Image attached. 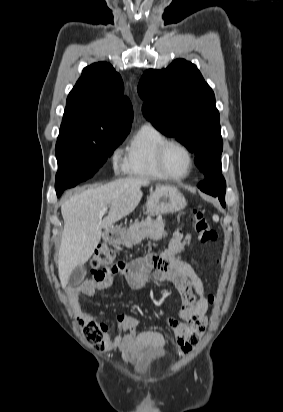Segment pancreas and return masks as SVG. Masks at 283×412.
<instances>
[{
	"label": "pancreas",
	"instance_id": "1",
	"mask_svg": "<svg viewBox=\"0 0 283 412\" xmlns=\"http://www.w3.org/2000/svg\"><path fill=\"white\" fill-rule=\"evenodd\" d=\"M164 226L165 224L162 219L152 220L150 218L140 223L130 225L125 231L124 244L127 247H131L140 243L145 238L159 240L167 235V232L164 231Z\"/></svg>",
	"mask_w": 283,
	"mask_h": 412
}]
</instances>
